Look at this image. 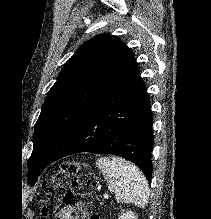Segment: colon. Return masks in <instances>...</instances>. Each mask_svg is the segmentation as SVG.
<instances>
[{
    "mask_svg": "<svg viewBox=\"0 0 211 219\" xmlns=\"http://www.w3.org/2000/svg\"><path fill=\"white\" fill-rule=\"evenodd\" d=\"M95 184L94 175L82 163H64L53 177L44 182L37 196L42 216H53L65 204L80 218L100 219L90 210L91 191Z\"/></svg>",
    "mask_w": 211,
    "mask_h": 219,
    "instance_id": "1",
    "label": "colon"
}]
</instances>
